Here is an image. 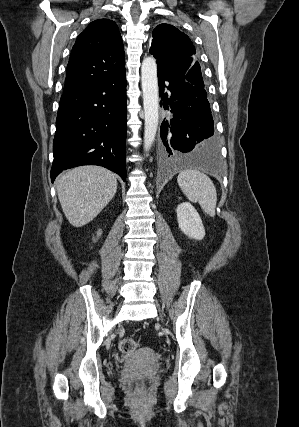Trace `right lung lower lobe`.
<instances>
[{
    "label": "right lung lower lobe",
    "mask_w": 299,
    "mask_h": 427,
    "mask_svg": "<svg viewBox=\"0 0 299 427\" xmlns=\"http://www.w3.org/2000/svg\"><path fill=\"white\" fill-rule=\"evenodd\" d=\"M125 70L106 81L63 93L53 142V182L61 171L100 165L126 179Z\"/></svg>",
    "instance_id": "obj_1"
}]
</instances>
